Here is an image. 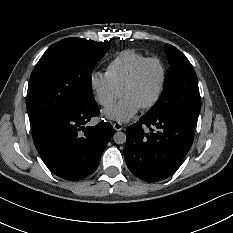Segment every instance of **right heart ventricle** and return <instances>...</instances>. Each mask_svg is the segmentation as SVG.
Listing matches in <instances>:
<instances>
[{"instance_id": "obj_1", "label": "right heart ventricle", "mask_w": 233, "mask_h": 233, "mask_svg": "<svg viewBox=\"0 0 233 233\" xmlns=\"http://www.w3.org/2000/svg\"><path fill=\"white\" fill-rule=\"evenodd\" d=\"M146 58V55L135 50H123L108 61L105 67V75L120 90L128 76Z\"/></svg>"}]
</instances>
